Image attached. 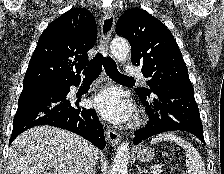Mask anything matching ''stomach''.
Wrapping results in <instances>:
<instances>
[{"label":"stomach","instance_id":"stomach-1","mask_svg":"<svg viewBox=\"0 0 224 174\" xmlns=\"http://www.w3.org/2000/svg\"><path fill=\"white\" fill-rule=\"evenodd\" d=\"M155 152L153 149L146 147L144 149H140L137 152V158L140 161H150L154 158Z\"/></svg>","mask_w":224,"mask_h":174}]
</instances>
